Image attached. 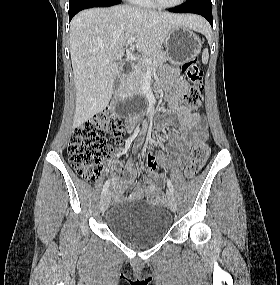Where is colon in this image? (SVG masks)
<instances>
[{
	"mask_svg": "<svg viewBox=\"0 0 280 285\" xmlns=\"http://www.w3.org/2000/svg\"><path fill=\"white\" fill-rule=\"evenodd\" d=\"M190 86L185 93V103L190 110H197L203 99V72L197 59H191L183 65ZM124 133L121 119L112 111H106L77 126L68 147L69 163L86 181L94 182L100 175V164L110 158L113 145H119ZM209 146L206 138L193 139L186 176L193 177L203 168L208 156ZM152 203H163L165 195L155 193L148 197Z\"/></svg>",
	"mask_w": 280,
	"mask_h": 285,
	"instance_id": "obj_1",
	"label": "colon"
}]
</instances>
